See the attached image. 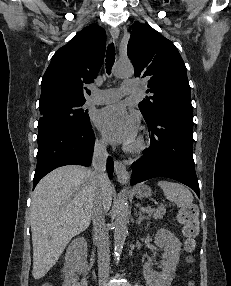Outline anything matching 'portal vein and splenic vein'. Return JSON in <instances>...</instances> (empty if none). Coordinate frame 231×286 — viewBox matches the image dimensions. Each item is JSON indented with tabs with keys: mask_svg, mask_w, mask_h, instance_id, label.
Listing matches in <instances>:
<instances>
[{
	"mask_svg": "<svg viewBox=\"0 0 231 286\" xmlns=\"http://www.w3.org/2000/svg\"><path fill=\"white\" fill-rule=\"evenodd\" d=\"M140 210H141V211H143V212H150V211H153V209L148 208V207H147V208H146V207H141V208H140Z\"/></svg>",
	"mask_w": 231,
	"mask_h": 286,
	"instance_id": "1",
	"label": "portal vein and splenic vein"
}]
</instances>
